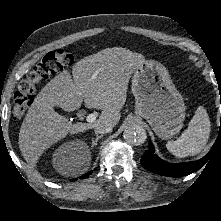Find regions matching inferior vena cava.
Masks as SVG:
<instances>
[{
	"label": "inferior vena cava",
	"instance_id": "obj_1",
	"mask_svg": "<svg viewBox=\"0 0 221 221\" xmlns=\"http://www.w3.org/2000/svg\"><path fill=\"white\" fill-rule=\"evenodd\" d=\"M113 127L109 124H97L94 126V131L96 134H105L112 132Z\"/></svg>",
	"mask_w": 221,
	"mask_h": 221
}]
</instances>
